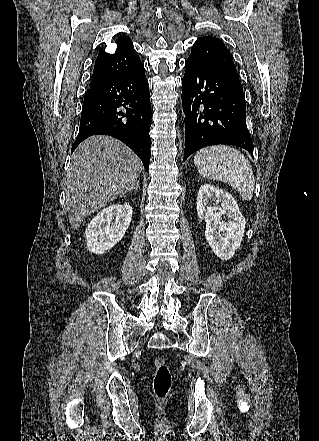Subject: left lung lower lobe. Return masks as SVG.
Listing matches in <instances>:
<instances>
[{"label":"left lung lower lobe","instance_id":"obj_1","mask_svg":"<svg viewBox=\"0 0 319 441\" xmlns=\"http://www.w3.org/2000/svg\"><path fill=\"white\" fill-rule=\"evenodd\" d=\"M182 80L185 117L183 160L210 145L238 146L253 154L243 87L228 75L188 58Z\"/></svg>","mask_w":319,"mask_h":441}]
</instances>
